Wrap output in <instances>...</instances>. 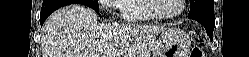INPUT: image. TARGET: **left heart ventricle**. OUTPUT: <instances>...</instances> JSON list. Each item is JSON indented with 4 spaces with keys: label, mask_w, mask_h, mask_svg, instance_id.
I'll return each mask as SVG.
<instances>
[{
    "label": "left heart ventricle",
    "mask_w": 249,
    "mask_h": 57,
    "mask_svg": "<svg viewBox=\"0 0 249 57\" xmlns=\"http://www.w3.org/2000/svg\"><path fill=\"white\" fill-rule=\"evenodd\" d=\"M180 7L179 0H156L155 9L161 14L175 13Z\"/></svg>",
    "instance_id": "left-heart-ventricle-1"
}]
</instances>
